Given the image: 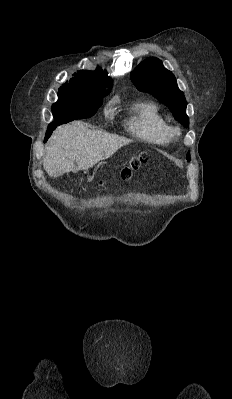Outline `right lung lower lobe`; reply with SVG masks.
<instances>
[{"label": "right lung lower lobe", "instance_id": "98d812e1", "mask_svg": "<svg viewBox=\"0 0 232 399\" xmlns=\"http://www.w3.org/2000/svg\"><path fill=\"white\" fill-rule=\"evenodd\" d=\"M73 120H74V119H71V118H65V119H56V118H55V121H54L52 124H50V125L48 126V130H47V132H46L44 142L47 141V139H48V138L50 137V135L52 134V131L55 130V128H56L57 126H59V125H61V124L68 123V122L73 121Z\"/></svg>", "mask_w": 232, "mask_h": 399}]
</instances>
